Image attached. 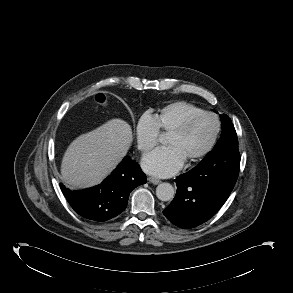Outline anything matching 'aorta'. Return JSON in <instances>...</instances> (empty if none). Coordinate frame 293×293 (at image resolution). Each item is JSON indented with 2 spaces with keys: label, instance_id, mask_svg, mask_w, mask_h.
<instances>
[{
  "label": "aorta",
  "instance_id": "obj_1",
  "mask_svg": "<svg viewBox=\"0 0 293 293\" xmlns=\"http://www.w3.org/2000/svg\"><path fill=\"white\" fill-rule=\"evenodd\" d=\"M175 190L170 183H161L156 188V196L161 201H170L174 198Z\"/></svg>",
  "mask_w": 293,
  "mask_h": 293
}]
</instances>
